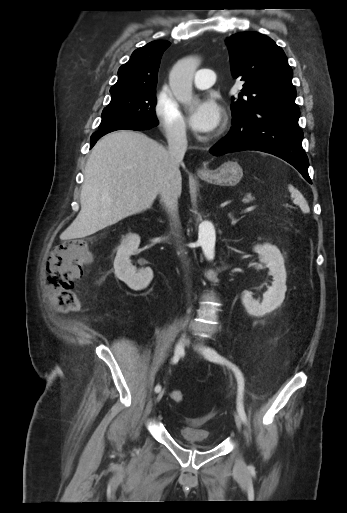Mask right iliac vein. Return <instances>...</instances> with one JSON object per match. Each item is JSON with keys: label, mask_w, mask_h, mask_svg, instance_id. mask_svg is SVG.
<instances>
[{"label": "right iliac vein", "mask_w": 347, "mask_h": 513, "mask_svg": "<svg viewBox=\"0 0 347 513\" xmlns=\"http://www.w3.org/2000/svg\"><path fill=\"white\" fill-rule=\"evenodd\" d=\"M188 342H189V336H188L187 332L184 331L181 336L180 343L182 346H186ZM164 394H165V390L163 389L158 393V395L156 397V402H159L162 399V397L164 396Z\"/></svg>", "instance_id": "obj_1"}]
</instances>
